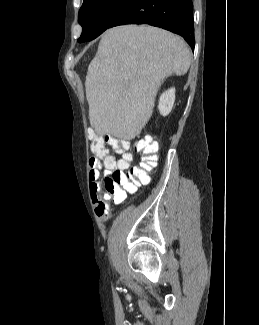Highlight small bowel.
Wrapping results in <instances>:
<instances>
[{
    "instance_id": "1",
    "label": "small bowel",
    "mask_w": 259,
    "mask_h": 325,
    "mask_svg": "<svg viewBox=\"0 0 259 325\" xmlns=\"http://www.w3.org/2000/svg\"><path fill=\"white\" fill-rule=\"evenodd\" d=\"M120 164L128 166L129 162H124L122 161V159L117 160L111 155H107L106 157H104L103 161L96 157L91 158L89 161L88 178L90 194L95 205L96 214L101 218H106L109 215V207L106 203V200L110 199V196L106 194H101V189L99 185L101 171L104 173L105 176H108L111 171Z\"/></svg>"
}]
</instances>
